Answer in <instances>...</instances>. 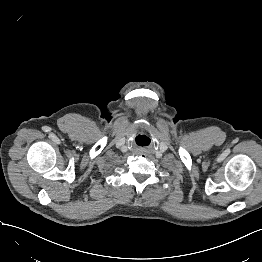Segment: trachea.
I'll list each match as a JSON object with an SVG mask.
<instances>
[{
  "label": "trachea",
  "instance_id": "3493384b",
  "mask_svg": "<svg viewBox=\"0 0 262 262\" xmlns=\"http://www.w3.org/2000/svg\"><path fill=\"white\" fill-rule=\"evenodd\" d=\"M136 141H137L138 145L144 146V145H147V142L149 141V138L147 136H145V135H139L136 138Z\"/></svg>",
  "mask_w": 262,
  "mask_h": 262
}]
</instances>
